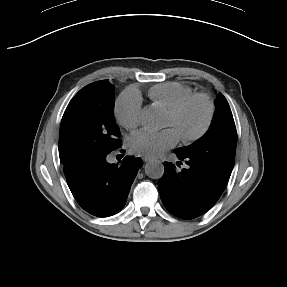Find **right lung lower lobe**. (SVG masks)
<instances>
[{"label": "right lung lower lobe", "instance_id": "98d812e1", "mask_svg": "<svg viewBox=\"0 0 287 287\" xmlns=\"http://www.w3.org/2000/svg\"><path fill=\"white\" fill-rule=\"evenodd\" d=\"M110 152L91 157L65 173L68 186L79 205L92 215L107 217L121 211L130 187L142 167L140 158H124L110 164Z\"/></svg>", "mask_w": 287, "mask_h": 287}]
</instances>
